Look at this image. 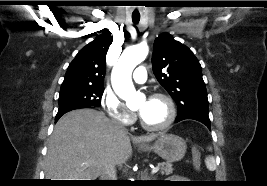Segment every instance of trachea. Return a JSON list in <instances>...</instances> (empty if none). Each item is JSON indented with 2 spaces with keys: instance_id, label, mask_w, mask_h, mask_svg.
I'll list each match as a JSON object with an SVG mask.
<instances>
[{
  "instance_id": "trachea-1",
  "label": "trachea",
  "mask_w": 267,
  "mask_h": 186,
  "mask_svg": "<svg viewBox=\"0 0 267 186\" xmlns=\"http://www.w3.org/2000/svg\"><path fill=\"white\" fill-rule=\"evenodd\" d=\"M139 20H140V16L139 17L138 16H133L132 17V21H133L134 24H137L139 22Z\"/></svg>"
}]
</instances>
